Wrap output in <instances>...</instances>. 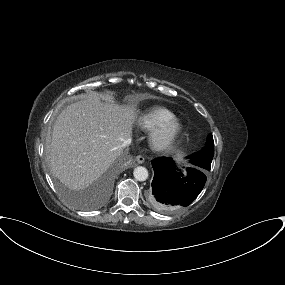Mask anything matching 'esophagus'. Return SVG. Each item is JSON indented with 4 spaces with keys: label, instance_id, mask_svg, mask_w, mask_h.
Listing matches in <instances>:
<instances>
[{
    "label": "esophagus",
    "instance_id": "1",
    "mask_svg": "<svg viewBox=\"0 0 285 285\" xmlns=\"http://www.w3.org/2000/svg\"><path fill=\"white\" fill-rule=\"evenodd\" d=\"M136 161H137L139 164H142V163H144L145 158H144L142 155H138V156L136 157Z\"/></svg>",
    "mask_w": 285,
    "mask_h": 285
}]
</instances>
